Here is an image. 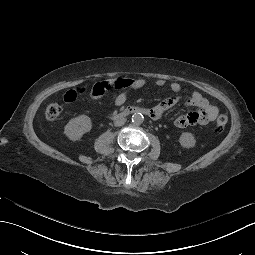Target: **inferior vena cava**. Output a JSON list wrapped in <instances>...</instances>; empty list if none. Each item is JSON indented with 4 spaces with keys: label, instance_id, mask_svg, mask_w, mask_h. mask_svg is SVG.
<instances>
[{
    "label": "inferior vena cava",
    "instance_id": "602c4592",
    "mask_svg": "<svg viewBox=\"0 0 255 255\" xmlns=\"http://www.w3.org/2000/svg\"><path fill=\"white\" fill-rule=\"evenodd\" d=\"M125 122H126V118H124V117H118V118H116L115 121H114V126H116V127L122 126V125L125 124Z\"/></svg>",
    "mask_w": 255,
    "mask_h": 255
}]
</instances>
